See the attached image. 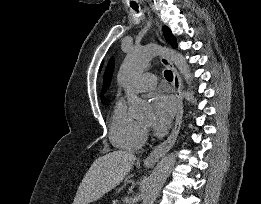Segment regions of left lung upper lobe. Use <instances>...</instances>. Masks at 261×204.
Listing matches in <instances>:
<instances>
[{"label": "left lung upper lobe", "mask_w": 261, "mask_h": 204, "mask_svg": "<svg viewBox=\"0 0 261 204\" xmlns=\"http://www.w3.org/2000/svg\"><path fill=\"white\" fill-rule=\"evenodd\" d=\"M163 33H164V37L167 40V42L170 45H172L173 47H177L176 38L173 36V34L171 33V30L167 26L163 27Z\"/></svg>", "instance_id": "obj_1"}]
</instances>
